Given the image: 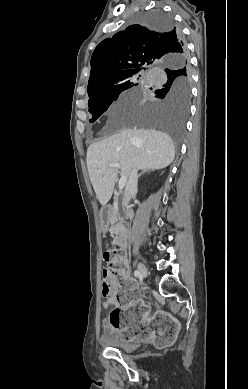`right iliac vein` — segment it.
I'll return each instance as SVG.
<instances>
[{
    "instance_id": "right-iliac-vein-1",
    "label": "right iliac vein",
    "mask_w": 248,
    "mask_h": 389,
    "mask_svg": "<svg viewBox=\"0 0 248 389\" xmlns=\"http://www.w3.org/2000/svg\"><path fill=\"white\" fill-rule=\"evenodd\" d=\"M138 271L142 277H146L148 275V270L143 263L138 264Z\"/></svg>"
}]
</instances>
